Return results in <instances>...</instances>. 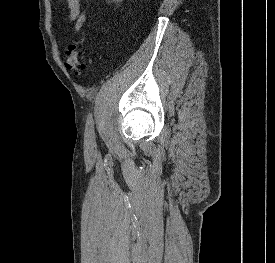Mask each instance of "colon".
Returning <instances> with one entry per match:
<instances>
[{
  "label": "colon",
  "instance_id": "1",
  "mask_svg": "<svg viewBox=\"0 0 275 263\" xmlns=\"http://www.w3.org/2000/svg\"><path fill=\"white\" fill-rule=\"evenodd\" d=\"M65 66L68 70L73 71L76 75L82 74L86 69L83 54L75 43H72L68 47Z\"/></svg>",
  "mask_w": 275,
  "mask_h": 263
}]
</instances>
